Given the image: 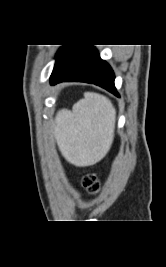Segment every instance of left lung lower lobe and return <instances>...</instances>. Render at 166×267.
<instances>
[{
    "label": "left lung lower lobe",
    "instance_id": "left-lung-lower-lobe-1",
    "mask_svg": "<svg viewBox=\"0 0 166 267\" xmlns=\"http://www.w3.org/2000/svg\"><path fill=\"white\" fill-rule=\"evenodd\" d=\"M111 67L100 58L92 45H66L60 49L50 77L51 85L64 81H81L101 86L119 96Z\"/></svg>",
    "mask_w": 166,
    "mask_h": 267
}]
</instances>
